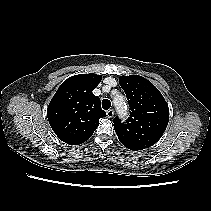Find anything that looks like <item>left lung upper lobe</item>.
<instances>
[{
    "instance_id": "1",
    "label": "left lung upper lobe",
    "mask_w": 211,
    "mask_h": 211,
    "mask_svg": "<svg viewBox=\"0 0 211 211\" xmlns=\"http://www.w3.org/2000/svg\"><path fill=\"white\" fill-rule=\"evenodd\" d=\"M119 84L126 93L131 110L124 123L113 120L119 141L133 151L154 145L169 121V108L160 91L142 76H121Z\"/></svg>"
}]
</instances>
